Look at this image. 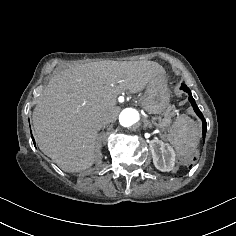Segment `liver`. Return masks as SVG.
<instances>
[{"label": "liver", "mask_w": 236, "mask_h": 236, "mask_svg": "<svg viewBox=\"0 0 236 236\" xmlns=\"http://www.w3.org/2000/svg\"><path fill=\"white\" fill-rule=\"evenodd\" d=\"M165 79L164 68L150 60H105L78 64L54 75L37 98L32 115L39 149L61 170L84 171L103 158L96 142L114 122L117 97L141 92Z\"/></svg>", "instance_id": "obj_1"}]
</instances>
